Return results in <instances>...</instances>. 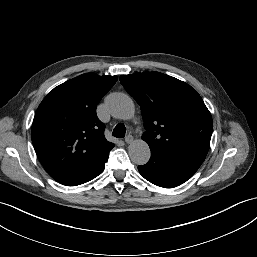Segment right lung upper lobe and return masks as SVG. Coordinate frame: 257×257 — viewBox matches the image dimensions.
Here are the masks:
<instances>
[{"label":"right lung upper lobe","instance_id":"cb5924a9","mask_svg":"<svg viewBox=\"0 0 257 257\" xmlns=\"http://www.w3.org/2000/svg\"><path fill=\"white\" fill-rule=\"evenodd\" d=\"M117 79L82 74L55 87L39 105L32 143L45 170L59 183L81 179L108 158L114 144L105 139L96 107Z\"/></svg>","mask_w":257,"mask_h":257}]
</instances>
